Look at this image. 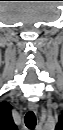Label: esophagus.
Returning <instances> with one entry per match:
<instances>
[{
    "label": "esophagus",
    "instance_id": "1",
    "mask_svg": "<svg viewBox=\"0 0 63 130\" xmlns=\"http://www.w3.org/2000/svg\"><path fill=\"white\" fill-rule=\"evenodd\" d=\"M28 107H29V109H30L31 111L37 112V104H36V103L30 102V103L28 104Z\"/></svg>",
    "mask_w": 63,
    "mask_h": 130
}]
</instances>
